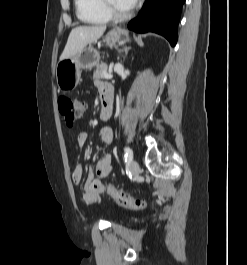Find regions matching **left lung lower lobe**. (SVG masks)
<instances>
[{"label": "left lung lower lobe", "mask_w": 247, "mask_h": 265, "mask_svg": "<svg viewBox=\"0 0 247 265\" xmlns=\"http://www.w3.org/2000/svg\"><path fill=\"white\" fill-rule=\"evenodd\" d=\"M184 2L185 0H145L140 14L129 22L128 28L141 33H158L174 46Z\"/></svg>", "instance_id": "obj_1"}]
</instances>
